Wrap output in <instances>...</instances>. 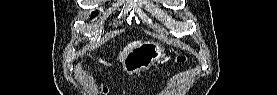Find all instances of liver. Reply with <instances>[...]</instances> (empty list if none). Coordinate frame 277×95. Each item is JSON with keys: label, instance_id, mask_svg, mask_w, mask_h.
Here are the masks:
<instances>
[{"label": "liver", "instance_id": "liver-1", "mask_svg": "<svg viewBox=\"0 0 277 95\" xmlns=\"http://www.w3.org/2000/svg\"><path fill=\"white\" fill-rule=\"evenodd\" d=\"M141 41H134V42H131L129 43L127 46H125L123 48V50L119 53V57L118 59L122 62L123 59L126 57V55L132 50L134 49L138 44H140ZM102 64H105V65H110L108 64L107 62H105L104 60H99Z\"/></svg>", "mask_w": 277, "mask_h": 95}]
</instances>
